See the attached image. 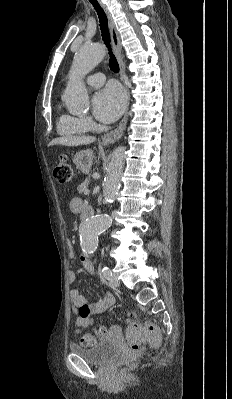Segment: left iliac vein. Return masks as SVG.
Wrapping results in <instances>:
<instances>
[{"label":"left iliac vein","instance_id":"4c4485c4","mask_svg":"<svg viewBox=\"0 0 232 399\" xmlns=\"http://www.w3.org/2000/svg\"><path fill=\"white\" fill-rule=\"evenodd\" d=\"M109 285L110 286H118L120 283L118 282V278H110L109 279Z\"/></svg>","mask_w":232,"mask_h":399}]
</instances>
